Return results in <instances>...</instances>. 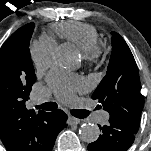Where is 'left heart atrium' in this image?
I'll return each mask as SVG.
<instances>
[{
    "label": "left heart atrium",
    "instance_id": "left-heart-atrium-1",
    "mask_svg": "<svg viewBox=\"0 0 151 151\" xmlns=\"http://www.w3.org/2000/svg\"><path fill=\"white\" fill-rule=\"evenodd\" d=\"M50 85L62 99H70L75 91L83 88L84 82L76 76H68L62 73H55L49 77Z\"/></svg>",
    "mask_w": 151,
    "mask_h": 151
}]
</instances>
